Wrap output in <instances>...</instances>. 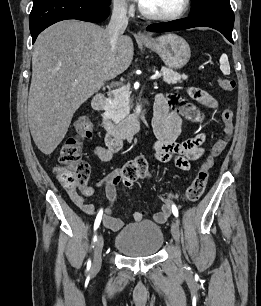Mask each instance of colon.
<instances>
[{"mask_svg":"<svg viewBox=\"0 0 261 306\" xmlns=\"http://www.w3.org/2000/svg\"><path fill=\"white\" fill-rule=\"evenodd\" d=\"M219 86L225 91H232L236 86L233 79H220ZM221 120L224 124L225 136L218 140L211 148L207 160L199 168L194 180L183 193L185 200L196 202L205 191L209 169L214 157L221 154L227 147L228 141L233 133V112L226 108L221 113ZM76 134L65 140L63 143L58 166L55 169L59 182L67 189L79 187L85 189L89 177V166L81 160L83 143L92 136V125L86 117H80L75 122ZM152 170L144 157H138L127 162L120 170L116 179L125 186H132L139 179H146L151 176ZM168 198H171L169 196Z\"/></svg>","mask_w":261,"mask_h":306,"instance_id":"colon-1","label":"colon"}]
</instances>
